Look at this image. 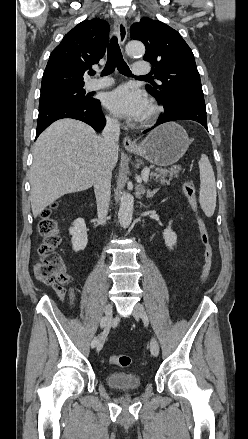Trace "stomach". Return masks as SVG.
Here are the masks:
<instances>
[{"mask_svg":"<svg viewBox=\"0 0 248 439\" xmlns=\"http://www.w3.org/2000/svg\"><path fill=\"white\" fill-rule=\"evenodd\" d=\"M190 141L187 132L175 122L165 123L130 152L140 155L152 164L166 167L176 163L187 151Z\"/></svg>","mask_w":248,"mask_h":439,"instance_id":"1","label":"stomach"}]
</instances>
